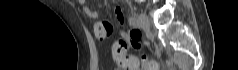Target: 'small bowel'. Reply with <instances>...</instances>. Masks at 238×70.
Segmentation results:
<instances>
[{"instance_id":"obj_1","label":"small bowel","mask_w":238,"mask_h":70,"mask_svg":"<svg viewBox=\"0 0 238 70\" xmlns=\"http://www.w3.org/2000/svg\"><path fill=\"white\" fill-rule=\"evenodd\" d=\"M79 4L83 10V12L89 16L90 18H93V19H96L98 17V13L97 11L91 9L86 0H79ZM114 14L116 16V19L119 23H122L123 22V14H122V10L121 8L119 7H116L114 9ZM112 32V25L111 23L109 22H106V21H103V22H97L95 25H94V33H95V36L96 38L100 39V40H103L105 39L110 33ZM122 33H129V32H126V31H123ZM126 48H125V53H126V50L127 48L130 46V44H126ZM113 51V50H112ZM113 53V52H112Z\"/></svg>"}]
</instances>
